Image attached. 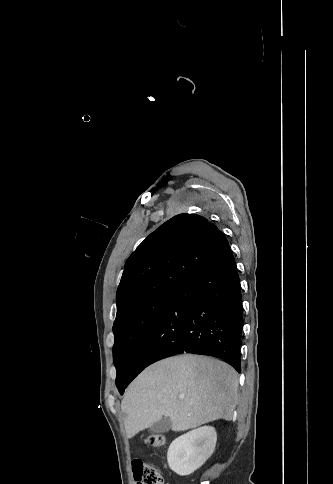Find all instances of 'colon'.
I'll return each mask as SVG.
<instances>
[{"mask_svg": "<svg viewBox=\"0 0 333 484\" xmlns=\"http://www.w3.org/2000/svg\"><path fill=\"white\" fill-rule=\"evenodd\" d=\"M145 442L156 448L165 445V437L162 434H150ZM137 484H164L162 471L151 464L142 463L137 473Z\"/></svg>", "mask_w": 333, "mask_h": 484, "instance_id": "colon-1", "label": "colon"}]
</instances>
